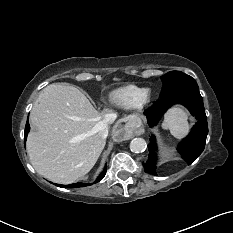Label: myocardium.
<instances>
[{
  "instance_id": "f54148a6",
  "label": "myocardium",
  "mask_w": 233,
  "mask_h": 233,
  "mask_svg": "<svg viewBox=\"0 0 233 233\" xmlns=\"http://www.w3.org/2000/svg\"><path fill=\"white\" fill-rule=\"evenodd\" d=\"M151 98H152V92L151 91H147L146 96L144 98V102L150 101Z\"/></svg>"
}]
</instances>
